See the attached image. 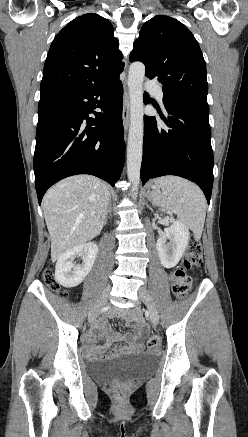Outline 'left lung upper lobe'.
<instances>
[{"label": "left lung upper lobe", "instance_id": "1", "mask_svg": "<svg viewBox=\"0 0 248 437\" xmlns=\"http://www.w3.org/2000/svg\"><path fill=\"white\" fill-rule=\"evenodd\" d=\"M129 59L143 62L145 75L163 85L164 105H208L205 60L193 34L178 20L158 15L147 21Z\"/></svg>", "mask_w": 248, "mask_h": 437}]
</instances>
